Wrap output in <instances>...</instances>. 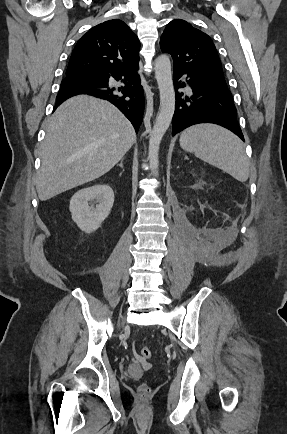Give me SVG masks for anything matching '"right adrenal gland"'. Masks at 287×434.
Instances as JSON below:
<instances>
[{"label": "right adrenal gland", "instance_id": "right-adrenal-gland-1", "mask_svg": "<svg viewBox=\"0 0 287 434\" xmlns=\"http://www.w3.org/2000/svg\"><path fill=\"white\" fill-rule=\"evenodd\" d=\"M118 166H120V167L123 169V159H122V161L120 162V164H118Z\"/></svg>", "mask_w": 287, "mask_h": 434}]
</instances>
